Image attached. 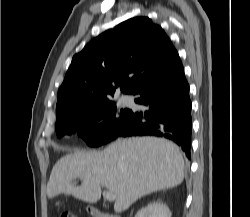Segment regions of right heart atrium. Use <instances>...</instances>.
Returning a JSON list of instances; mask_svg holds the SVG:
<instances>
[{
  "label": "right heart atrium",
  "instance_id": "obj_1",
  "mask_svg": "<svg viewBox=\"0 0 250 217\" xmlns=\"http://www.w3.org/2000/svg\"><path fill=\"white\" fill-rule=\"evenodd\" d=\"M95 126H96V124H95V123H92V124H91V127H95Z\"/></svg>",
  "mask_w": 250,
  "mask_h": 217
}]
</instances>
